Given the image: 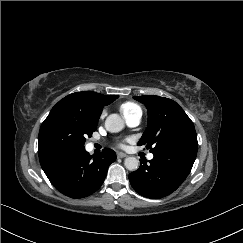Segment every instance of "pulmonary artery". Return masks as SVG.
Segmentation results:
<instances>
[{"instance_id": "pulmonary-artery-1", "label": "pulmonary artery", "mask_w": 243, "mask_h": 243, "mask_svg": "<svg viewBox=\"0 0 243 243\" xmlns=\"http://www.w3.org/2000/svg\"><path fill=\"white\" fill-rule=\"evenodd\" d=\"M124 118H125L126 124L129 127H136L141 122L142 111H141V109H138V110L134 111L133 113L125 116ZM147 157L149 160H151V159H153L154 155L152 153H150V154H148Z\"/></svg>"}]
</instances>
